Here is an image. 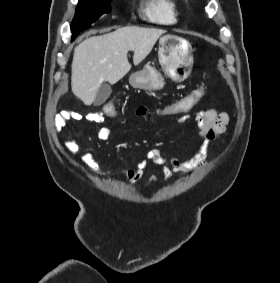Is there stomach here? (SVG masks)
I'll return each instance as SVG.
<instances>
[{
	"instance_id": "stomach-1",
	"label": "stomach",
	"mask_w": 280,
	"mask_h": 283,
	"mask_svg": "<svg viewBox=\"0 0 280 283\" xmlns=\"http://www.w3.org/2000/svg\"><path fill=\"white\" fill-rule=\"evenodd\" d=\"M158 57L164 74L173 81L181 82L189 77L193 67V49L183 37L167 34L159 40ZM135 88L159 90L165 85L162 73L152 65H145L129 78Z\"/></svg>"
}]
</instances>
